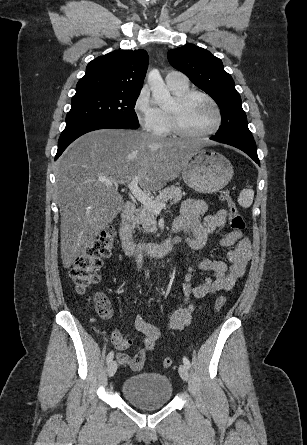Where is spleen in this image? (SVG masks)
I'll return each instance as SVG.
<instances>
[{"label":"spleen","instance_id":"spleen-1","mask_svg":"<svg viewBox=\"0 0 307 445\" xmlns=\"http://www.w3.org/2000/svg\"><path fill=\"white\" fill-rule=\"evenodd\" d=\"M254 198V190H252L251 186L249 188H243L238 196V202L244 208H248L251 206Z\"/></svg>","mask_w":307,"mask_h":445}]
</instances>
